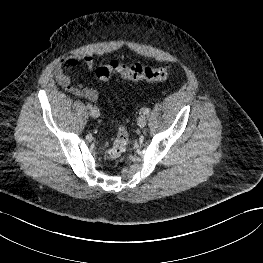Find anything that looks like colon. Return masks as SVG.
<instances>
[{"mask_svg": "<svg viewBox=\"0 0 263 263\" xmlns=\"http://www.w3.org/2000/svg\"><path fill=\"white\" fill-rule=\"evenodd\" d=\"M172 69L169 65L158 67L146 66L140 63L124 64L111 61L109 64L99 66L95 73L100 80H108L112 75H118L131 81L160 82L168 78ZM129 133L125 126H120L118 132L108 148L111 159L119 158L127 149Z\"/></svg>", "mask_w": 263, "mask_h": 263, "instance_id": "obj_1", "label": "colon"}]
</instances>
